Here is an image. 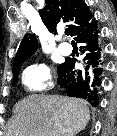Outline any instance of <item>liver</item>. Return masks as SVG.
Wrapping results in <instances>:
<instances>
[{
	"instance_id": "liver-1",
	"label": "liver",
	"mask_w": 117,
	"mask_h": 136,
	"mask_svg": "<svg viewBox=\"0 0 117 136\" xmlns=\"http://www.w3.org/2000/svg\"><path fill=\"white\" fill-rule=\"evenodd\" d=\"M13 112L6 136H75L90 120L87 101L58 95H29Z\"/></svg>"
}]
</instances>
